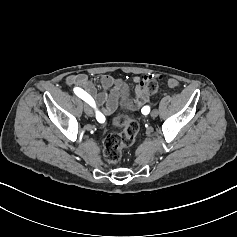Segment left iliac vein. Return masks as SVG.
<instances>
[{
    "label": "left iliac vein",
    "mask_w": 237,
    "mask_h": 237,
    "mask_svg": "<svg viewBox=\"0 0 237 237\" xmlns=\"http://www.w3.org/2000/svg\"><path fill=\"white\" fill-rule=\"evenodd\" d=\"M157 115H158V110L157 109L152 110L151 117H156Z\"/></svg>",
    "instance_id": "obj_1"
}]
</instances>
